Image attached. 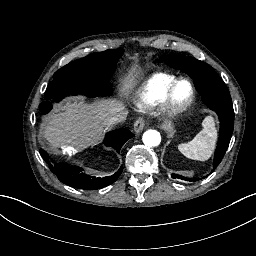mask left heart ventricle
<instances>
[{"label":"left heart ventricle","instance_id":"left-heart-ventricle-1","mask_svg":"<svg viewBox=\"0 0 256 256\" xmlns=\"http://www.w3.org/2000/svg\"><path fill=\"white\" fill-rule=\"evenodd\" d=\"M189 97H190L189 86L186 83H182L176 91L175 101L177 104L180 105L185 103L189 99ZM140 103L142 104L143 110H149L151 108L150 103L146 100H142Z\"/></svg>","mask_w":256,"mask_h":256}]
</instances>
